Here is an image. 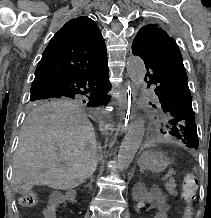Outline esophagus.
Here are the masks:
<instances>
[{
  "instance_id": "obj_1",
  "label": "esophagus",
  "mask_w": 211,
  "mask_h": 218,
  "mask_svg": "<svg viewBox=\"0 0 211 218\" xmlns=\"http://www.w3.org/2000/svg\"><path fill=\"white\" fill-rule=\"evenodd\" d=\"M127 85L130 83L128 80L125 82ZM126 91L123 90V93L120 95V97L117 100V105L121 109V117H132V104H128V102L134 103L135 101V95L134 90L130 89L131 87L128 85L126 87ZM116 123H121L120 130L126 131L127 128H130V123H132V118H116ZM123 123V124H122Z\"/></svg>"
}]
</instances>
